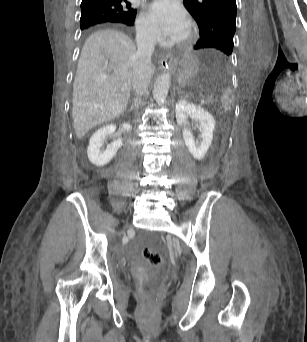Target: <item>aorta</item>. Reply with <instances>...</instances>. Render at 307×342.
I'll list each match as a JSON object with an SVG mask.
<instances>
[{"label":"aorta","instance_id":"1","mask_svg":"<svg viewBox=\"0 0 307 342\" xmlns=\"http://www.w3.org/2000/svg\"><path fill=\"white\" fill-rule=\"evenodd\" d=\"M170 86V74H161V76H158L153 88V98L156 100L157 104H164L168 96Z\"/></svg>","mask_w":307,"mask_h":342}]
</instances>
